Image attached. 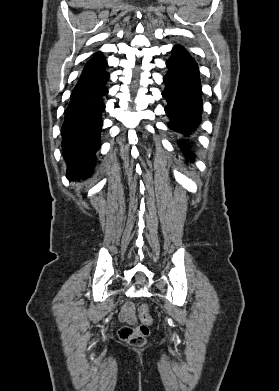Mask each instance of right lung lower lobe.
Returning <instances> with one entry per match:
<instances>
[{"instance_id":"right-lung-lower-lobe-1","label":"right lung lower lobe","mask_w":279,"mask_h":391,"mask_svg":"<svg viewBox=\"0 0 279 391\" xmlns=\"http://www.w3.org/2000/svg\"><path fill=\"white\" fill-rule=\"evenodd\" d=\"M106 71L80 78L72 91L62 125L63 156L67 178L79 180L90 175L99 149L103 96L108 93Z\"/></svg>"}]
</instances>
